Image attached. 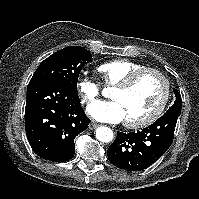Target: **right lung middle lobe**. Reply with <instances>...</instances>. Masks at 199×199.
<instances>
[{"label": "right lung middle lobe", "mask_w": 199, "mask_h": 199, "mask_svg": "<svg viewBox=\"0 0 199 199\" xmlns=\"http://www.w3.org/2000/svg\"><path fill=\"white\" fill-rule=\"evenodd\" d=\"M91 60L92 55L83 47L68 46L43 60L31 80L55 78L76 92L79 73Z\"/></svg>", "instance_id": "obj_1"}]
</instances>
